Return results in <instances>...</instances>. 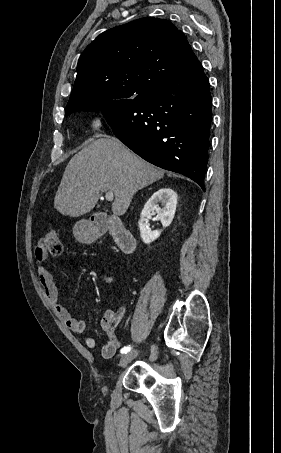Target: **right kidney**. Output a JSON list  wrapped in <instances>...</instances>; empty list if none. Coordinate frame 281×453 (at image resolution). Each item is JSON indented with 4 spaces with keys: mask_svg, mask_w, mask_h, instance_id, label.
<instances>
[{
    "mask_svg": "<svg viewBox=\"0 0 281 453\" xmlns=\"http://www.w3.org/2000/svg\"><path fill=\"white\" fill-rule=\"evenodd\" d=\"M159 202H161L162 208H160ZM176 204L177 194L175 190H172L169 186L159 188V190H156V192L150 196L141 212V218L139 220L140 235L143 243L149 245V243L158 239L161 233V229H159V231H151V229H148L149 222H143V220H145L144 216H151L153 212H157L163 227H169V224H171L174 218Z\"/></svg>",
    "mask_w": 281,
    "mask_h": 453,
    "instance_id": "obj_1",
    "label": "right kidney"
}]
</instances>
